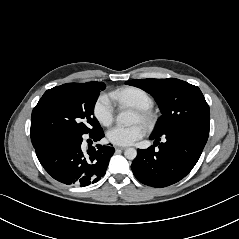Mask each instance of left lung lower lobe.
Returning <instances> with one entry per match:
<instances>
[{"mask_svg":"<svg viewBox=\"0 0 239 239\" xmlns=\"http://www.w3.org/2000/svg\"><path fill=\"white\" fill-rule=\"evenodd\" d=\"M166 142L159 143L161 136L151 135L154 146L138 150L131 168L135 177L148 186L166 187L184 178L195 166L207 142L209 133L180 129L163 135Z\"/></svg>","mask_w":239,"mask_h":239,"instance_id":"obj_1","label":"left lung lower lobe"}]
</instances>
